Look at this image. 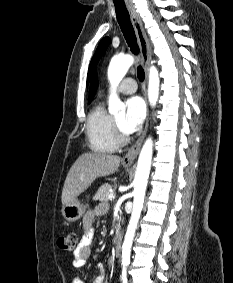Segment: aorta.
I'll return each instance as SVG.
<instances>
[{"label":"aorta","instance_id":"obj_1","mask_svg":"<svg viewBox=\"0 0 233 283\" xmlns=\"http://www.w3.org/2000/svg\"><path fill=\"white\" fill-rule=\"evenodd\" d=\"M133 63L134 58L127 54L113 57L109 64L108 80L111 85V93L109 96L108 109L111 114L125 113V105L117 96L116 88ZM159 84L160 79L158 70L156 67L152 66L149 70L148 84V99L152 107H155L158 101ZM152 153L153 141L152 138L149 137L146 139L141 149L134 178L133 210L122 246V264L124 265H127L130 262L131 247L144 204L145 192L151 168Z\"/></svg>","mask_w":233,"mask_h":283}]
</instances>
